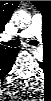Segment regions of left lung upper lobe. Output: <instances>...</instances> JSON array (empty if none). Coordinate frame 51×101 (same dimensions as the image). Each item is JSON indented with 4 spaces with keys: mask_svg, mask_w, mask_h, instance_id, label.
<instances>
[{
    "mask_svg": "<svg viewBox=\"0 0 51 101\" xmlns=\"http://www.w3.org/2000/svg\"><path fill=\"white\" fill-rule=\"evenodd\" d=\"M33 4L39 9V11L42 13V15L45 17V18H49V11H48V8L45 6V4L43 2H34L33 1Z\"/></svg>",
    "mask_w": 51,
    "mask_h": 101,
    "instance_id": "obj_1",
    "label": "left lung upper lobe"
}]
</instances>
